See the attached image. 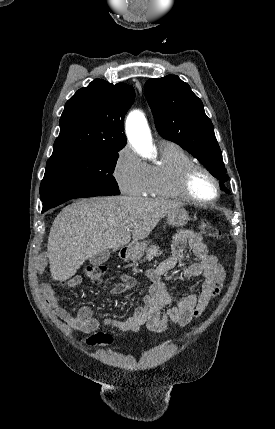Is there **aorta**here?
I'll return each mask as SVG.
<instances>
[{
  "mask_svg": "<svg viewBox=\"0 0 275 429\" xmlns=\"http://www.w3.org/2000/svg\"><path fill=\"white\" fill-rule=\"evenodd\" d=\"M128 139L134 149L144 157L154 156L152 136L144 115L135 111L127 119Z\"/></svg>",
  "mask_w": 275,
  "mask_h": 429,
  "instance_id": "1",
  "label": "aorta"
}]
</instances>
